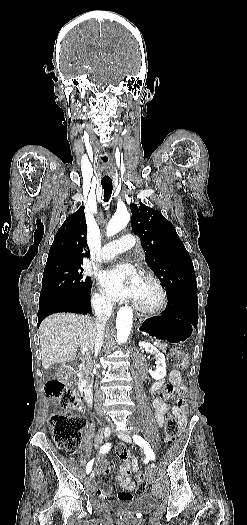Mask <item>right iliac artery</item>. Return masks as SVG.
Instances as JSON below:
<instances>
[{
    "instance_id": "right-iliac-artery-1",
    "label": "right iliac artery",
    "mask_w": 247,
    "mask_h": 525,
    "mask_svg": "<svg viewBox=\"0 0 247 525\" xmlns=\"http://www.w3.org/2000/svg\"><path fill=\"white\" fill-rule=\"evenodd\" d=\"M111 448V444L110 443H106L105 445H103L101 448H100V453L104 454V453H107ZM93 460L89 461V463L87 464L86 466V472L89 474L91 469H92V466H93Z\"/></svg>"
}]
</instances>
